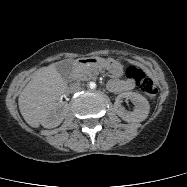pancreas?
I'll list each match as a JSON object with an SVG mask.
<instances>
[{
	"label": "pancreas",
	"instance_id": "pancreas-1",
	"mask_svg": "<svg viewBox=\"0 0 187 187\" xmlns=\"http://www.w3.org/2000/svg\"><path fill=\"white\" fill-rule=\"evenodd\" d=\"M99 72L100 70L97 67L85 65L75 72V78L81 81L95 80Z\"/></svg>",
	"mask_w": 187,
	"mask_h": 187
}]
</instances>
